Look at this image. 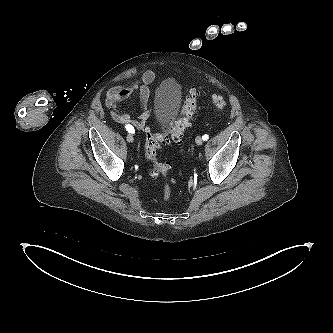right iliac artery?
Listing matches in <instances>:
<instances>
[{
  "label": "right iliac artery",
  "instance_id": "82829eb1",
  "mask_svg": "<svg viewBox=\"0 0 333 333\" xmlns=\"http://www.w3.org/2000/svg\"><path fill=\"white\" fill-rule=\"evenodd\" d=\"M125 128L130 133H134L135 132L134 128L132 126H130V125L125 126Z\"/></svg>",
  "mask_w": 333,
  "mask_h": 333
}]
</instances>
